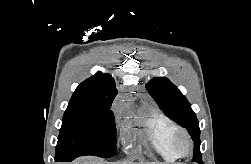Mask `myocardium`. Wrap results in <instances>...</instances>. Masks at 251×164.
I'll return each instance as SVG.
<instances>
[{
	"label": "myocardium",
	"mask_w": 251,
	"mask_h": 164,
	"mask_svg": "<svg viewBox=\"0 0 251 164\" xmlns=\"http://www.w3.org/2000/svg\"><path fill=\"white\" fill-rule=\"evenodd\" d=\"M192 146L189 134L184 129L177 128L170 141L172 153L177 158L186 157L191 153Z\"/></svg>",
	"instance_id": "1"
}]
</instances>
